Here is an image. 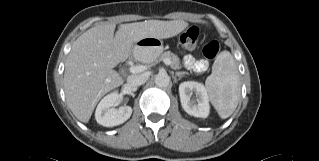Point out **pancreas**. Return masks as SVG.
<instances>
[{"instance_id":"obj_1","label":"pancreas","mask_w":319,"mask_h":161,"mask_svg":"<svg viewBox=\"0 0 319 161\" xmlns=\"http://www.w3.org/2000/svg\"><path fill=\"white\" fill-rule=\"evenodd\" d=\"M165 59L170 60V62H171L170 67L172 69L177 70V69H180L182 67L179 57L170 51L162 53L159 57H157L151 63H156L157 61H164Z\"/></svg>"}]
</instances>
